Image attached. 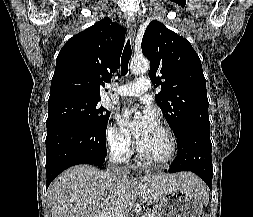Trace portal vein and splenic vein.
Here are the masks:
<instances>
[{"instance_id":"18ae733b","label":"portal vein and splenic vein","mask_w":253,"mask_h":217,"mask_svg":"<svg viewBox=\"0 0 253 217\" xmlns=\"http://www.w3.org/2000/svg\"><path fill=\"white\" fill-rule=\"evenodd\" d=\"M101 217H103V216H101ZM143 217H150V215H145V216H143Z\"/></svg>"}]
</instances>
